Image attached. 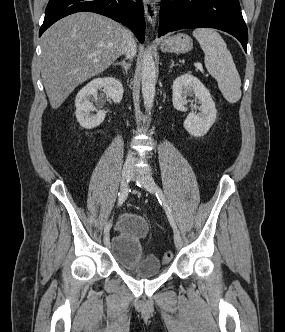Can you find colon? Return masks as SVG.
Returning a JSON list of instances; mask_svg holds the SVG:
<instances>
[{
	"mask_svg": "<svg viewBox=\"0 0 285 332\" xmlns=\"http://www.w3.org/2000/svg\"><path fill=\"white\" fill-rule=\"evenodd\" d=\"M173 258V254L171 252H166L164 255H163V261L164 262H170Z\"/></svg>",
	"mask_w": 285,
	"mask_h": 332,
	"instance_id": "5ec220e1",
	"label": "colon"
}]
</instances>
